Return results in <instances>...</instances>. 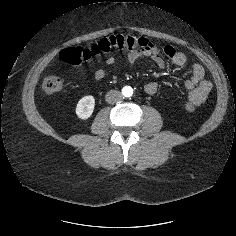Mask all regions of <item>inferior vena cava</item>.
Instances as JSON below:
<instances>
[{"mask_svg":"<svg viewBox=\"0 0 236 236\" xmlns=\"http://www.w3.org/2000/svg\"><path fill=\"white\" fill-rule=\"evenodd\" d=\"M122 94L121 92L117 90H110L107 92L105 99L108 103H117L122 100Z\"/></svg>","mask_w":236,"mask_h":236,"instance_id":"obj_1","label":"inferior vena cava"}]
</instances>
